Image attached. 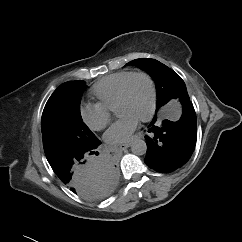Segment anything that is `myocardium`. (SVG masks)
Listing matches in <instances>:
<instances>
[{
	"instance_id": "f54148a6",
	"label": "myocardium",
	"mask_w": 242,
	"mask_h": 242,
	"mask_svg": "<svg viewBox=\"0 0 242 242\" xmlns=\"http://www.w3.org/2000/svg\"><path fill=\"white\" fill-rule=\"evenodd\" d=\"M136 77H144L148 81L149 86H150V93H151L150 106H149L147 113L139 119L142 122H147V121L151 120V118L153 117L155 110H156V105H157V87H156L154 79L147 72H143V71L133 72L126 79V81L124 82V84L122 85V88L120 90L118 100H117V104H116V109L122 103L125 102L127 95H128L130 83Z\"/></svg>"
}]
</instances>
